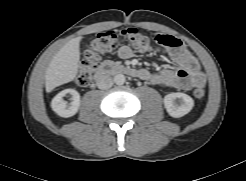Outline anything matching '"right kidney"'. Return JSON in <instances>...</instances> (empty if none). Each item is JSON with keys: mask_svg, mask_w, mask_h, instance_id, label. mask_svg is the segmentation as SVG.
I'll return each mask as SVG.
<instances>
[{"mask_svg": "<svg viewBox=\"0 0 246 181\" xmlns=\"http://www.w3.org/2000/svg\"><path fill=\"white\" fill-rule=\"evenodd\" d=\"M72 95V101L68 104L63 100L66 94ZM80 107V95L74 89H66L58 93L51 102L52 110L61 117L68 118L74 116Z\"/></svg>", "mask_w": 246, "mask_h": 181, "instance_id": "obj_1", "label": "right kidney"}]
</instances>
